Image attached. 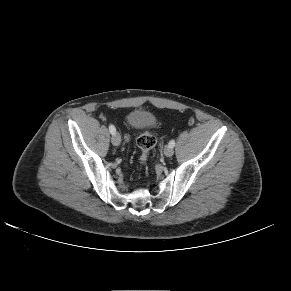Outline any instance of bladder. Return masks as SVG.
Wrapping results in <instances>:
<instances>
[{
    "instance_id": "bladder-1",
    "label": "bladder",
    "mask_w": 291,
    "mask_h": 291,
    "mask_svg": "<svg viewBox=\"0 0 291 291\" xmlns=\"http://www.w3.org/2000/svg\"><path fill=\"white\" fill-rule=\"evenodd\" d=\"M154 122V115L146 110H133L127 115V123L135 129L147 128Z\"/></svg>"
}]
</instances>
